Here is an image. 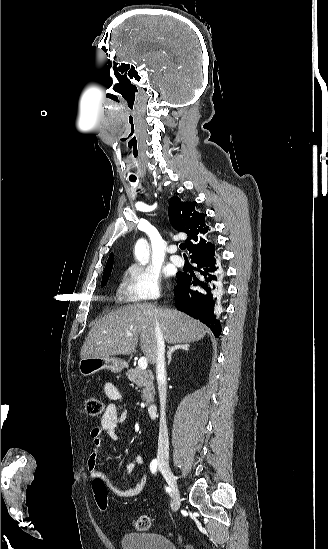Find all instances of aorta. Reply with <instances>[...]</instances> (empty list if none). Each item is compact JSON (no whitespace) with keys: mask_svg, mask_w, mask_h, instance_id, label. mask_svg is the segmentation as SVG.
I'll return each mask as SVG.
<instances>
[{"mask_svg":"<svg viewBox=\"0 0 328 549\" xmlns=\"http://www.w3.org/2000/svg\"><path fill=\"white\" fill-rule=\"evenodd\" d=\"M135 255H136V258L138 259V261L144 262L145 257H146V248H145V243L143 241H139L136 244Z\"/></svg>","mask_w":328,"mask_h":549,"instance_id":"1","label":"aorta"}]
</instances>
